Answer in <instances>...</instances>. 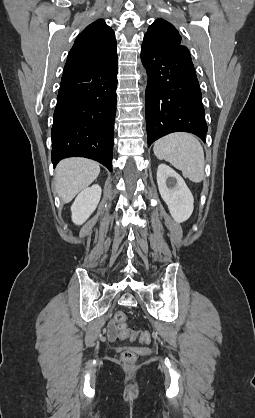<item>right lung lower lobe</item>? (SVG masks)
<instances>
[{
    "instance_id": "98d812e1",
    "label": "right lung lower lobe",
    "mask_w": 255,
    "mask_h": 418,
    "mask_svg": "<svg viewBox=\"0 0 255 418\" xmlns=\"http://www.w3.org/2000/svg\"><path fill=\"white\" fill-rule=\"evenodd\" d=\"M117 58L63 73L52 127V162L85 157L112 171Z\"/></svg>"
}]
</instances>
